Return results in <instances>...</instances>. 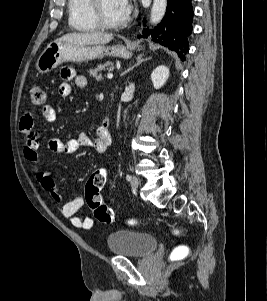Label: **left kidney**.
Wrapping results in <instances>:
<instances>
[{
	"mask_svg": "<svg viewBox=\"0 0 267 301\" xmlns=\"http://www.w3.org/2000/svg\"><path fill=\"white\" fill-rule=\"evenodd\" d=\"M169 77V68L160 65L153 70L151 74V80L155 89H160L164 86Z\"/></svg>",
	"mask_w": 267,
	"mask_h": 301,
	"instance_id": "obj_1",
	"label": "left kidney"
}]
</instances>
